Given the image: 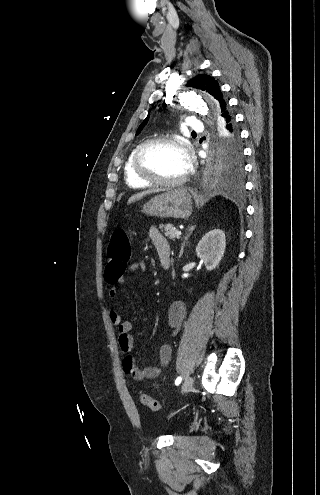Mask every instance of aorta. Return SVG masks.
Returning a JSON list of instances; mask_svg holds the SVG:
<instances>
[{
  "label": "aorta",
  "mask_w": 320,
  "mask_h": 495,
  "mask_svg": "<svg viewBox=\"0 0 320 495\" xmlns=\"http://www.w3.org/2000/svg\"><path fill=\"white\" fill-rule=\"evenodd\" d=\"M179 102L182 106L195 110L202 115H207L209 107L215 112L218 111L217 101L212 98L207 92L197 90L195 92L189 91L181 95ZM218 185L223 188L230 186L226 180H219Z\"/></svg>",
  "instance_id": "1"
}]
</instances>
